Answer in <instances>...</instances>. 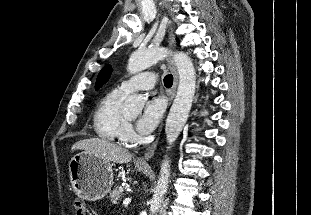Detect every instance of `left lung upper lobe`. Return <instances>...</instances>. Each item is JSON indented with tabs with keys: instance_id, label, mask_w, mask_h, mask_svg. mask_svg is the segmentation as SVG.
I'll use <instances>...</instances> for the list:
<instances>
[{
	"instance_id": "1",
	"label": "left lung upper lobe",
	"mask_w": 311,
	"mask_h": 215,
	"mask_svg": "<svg viewBox=\"0 0 311 215\" xmlns=\"http://www.w3.org/2000/svg\"><path fill=\"white\" fill-rule=\"evenodd\" d=\"M111 74V67L109 65L105 66L99 73L96 82V89L100 88L109 78Z\"/></svg>"
}]
</instances>
